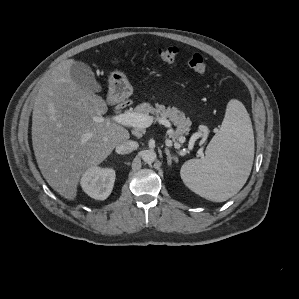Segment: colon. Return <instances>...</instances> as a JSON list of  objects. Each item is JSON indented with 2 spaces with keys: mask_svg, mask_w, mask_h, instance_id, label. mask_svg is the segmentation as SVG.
Listing matches in <instances>:
<instances>
[{
  "mask_svg": "<svg viewBox=\"0 0 299 299\" xmlns=\"http://www.w3.org/2000/svg\"><path fill=\"white\" fill-rule=\"evenodd\" d=\"M179 54V49L175 46L159 47L157 49L158 57L164 62H174ZM189 67L197 73L203 74L208 66L205 59L200 54H194L188 60Z\"/></svg>",
  "mask_w": 299,
  "mask_h": 299,
  "instance_id": "colon-1",
  "label": "colon"
}]
</instances>
